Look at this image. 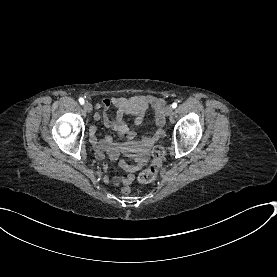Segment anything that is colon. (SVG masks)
Returning <instances> with one entry per match:
<instances>
[{
	"mask_svg": "<svg viewBox=\"0 0 277 277\" xmlns=\"http://www.w3.org/2000/svg\"><path fill=\"white\" fill-rule=\"evenodd\" d=\"M164 151L161 147H157L153 153V159L149 167L142 171L139 175L141 183H150L155 180L158 175L159 169L162 165Z\"/></svg>",
	"mask_w": 277,
	"mask_h": 277,
	"instance_id": "colon-1",
	"label": "colon"
}]
</instances>
